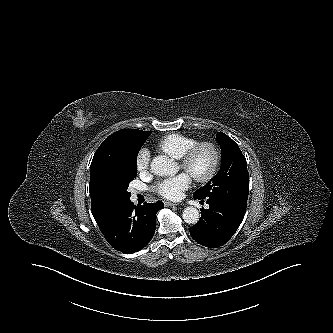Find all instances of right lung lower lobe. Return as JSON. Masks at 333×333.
<instances>
[{
  "label": "right lung lower lobe",
  "instance_id": "right-lung-lower-lobe-1",
  "mask_svg": "<svg viewBox=\"0 0 333 333\" xmlns=\"http://www.w3.org/2000/svg\"><path fill=\"white\" fill-rule=\"evenodd\" d=\"M162 201L135 206L130 199L116 203L97 224L108 243L129 254L144 248L155 232L156 213Z\"/></svg>",
  "mask_w": 333,
  "mask_h": 333
}]
</instances>
